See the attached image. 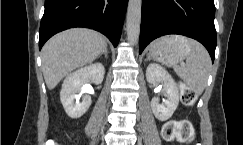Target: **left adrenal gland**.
<instances>
[{"mask_svg":"<svg viewBox=\"0 0 243 145\" xmlns=\"http://www.w3.org/2000/svg\"><path fill=\"white\" fill-rule=\"evenodd\" d=\"M150 59V56L148 55L147 58L145 59V61H148Z\"/></svg>","mask_w":243,"mask_h":145,"instance_id":"a2214340","label":"left adrenal gland"}]
</instances>
